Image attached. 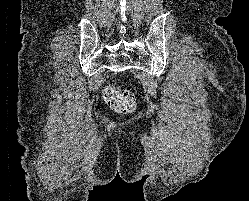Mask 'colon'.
<instances>
[{"label":"colon","mask_w":249,"mask_h":201,"mask_svg":"<svg viewBox=\"0 0 249 201\" xmlns=\"http://www.w3.org/2000/svg\"><path fill=\"white\" fill-rule=\"evenodd\" d=\"M103 98L105 103L118 113L128 114L135 108V98L128 90L108 86L104 89Z\"/></svg>","instance_id":"colon-1"}]
</instances>
